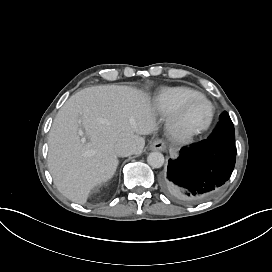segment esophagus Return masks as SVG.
I'll return each mask as SVG.
<instances>
[{
	"mask_svg": "<svg viewBox=\"0 0 272 272\" xmlns=\"http://www.w3.org/2000/svg\"><path fill=\"white\" fill-rule=\"evenodd\" d=\"M152 151H164L166 149V143L162 139H154L149 146Z\"/></svg>",
	"mask_w": 272,
	"mask_h": 272,
	"instance_id": "34e87169",
	"label": "esophagus"
}]
</instances>
